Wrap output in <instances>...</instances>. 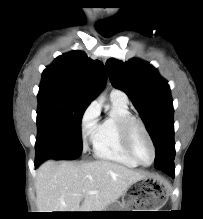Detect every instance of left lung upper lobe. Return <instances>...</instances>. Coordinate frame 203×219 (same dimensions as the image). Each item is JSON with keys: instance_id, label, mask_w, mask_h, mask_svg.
Segmentation results:
<instances>
[{"instance_id": "1", "label": "left lung upper lobe", "mask_w": 203, "mask_h": 219, "mask_svg": "<svg viewBox=\"0 0 203 219\" xmlns=\"http://www.w3.org/2000/svg\"><path fill=\"white\" fill-rule=\"evenodd\" d=\"M112 85L124 91L141 115L155 145V167L175 157L173 104L168 82L147 62L109 59Z\"/></svg>"}]
</instances>
